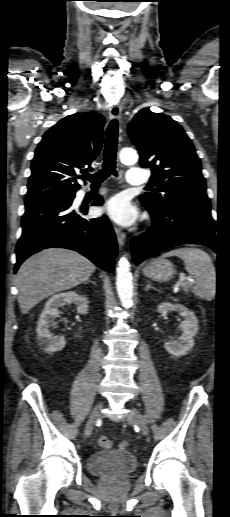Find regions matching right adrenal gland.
<instances>
[{"mask_svg": "<svg viewBox=\"0 0 230 517\" xmlns=\"http://www.w3.org/2000/svg\"><path fill=\"white\" fill-rule=\"evenodd\" d=\"M87 283H92L93 285H95V286H96V282L91 281V280H89V279H88V280H86V281L84 282V284H87Z\"/></svg>", "mask_w": 230, "mask_h": 517, "instance_id": "right-adrenal-gland-1", "label": "right adrenal gland"}]
</instances>
